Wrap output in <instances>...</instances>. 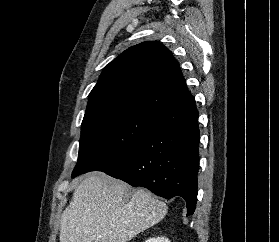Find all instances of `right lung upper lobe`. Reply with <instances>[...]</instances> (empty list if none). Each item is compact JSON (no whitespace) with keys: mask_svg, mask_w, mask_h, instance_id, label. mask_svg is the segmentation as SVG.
Instances as JSON below:
<instances>
[{"mask_svg":"<svg viewBox=\"0 0 279 242\" xmlns=\"http://www.w3.org/2000/svg\"><path fill=\"white\" fill-rule=\"evenodd\" d=\"M194 101L172 53L157 42L130 47L102 71L85 116L140 110L160 114Z\"/></svg>","mask_w":279,"mask_h":242,"instance_id":"1","label":"right lung upper lobe"}]
</instances>
